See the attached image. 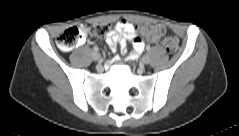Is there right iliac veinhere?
<instances>
[{
	"label": "right iliac vein",
	"mask_w": 239,
	"mask_h": 136,
	"mask_svg": "<svg viewBox=\"0 0 239 136\" xmlns=\"http://www.w3.org/2000/svg\"><path fill=\"white\" fill-rule=\"evenodd\" d=\"M92 58H93V60L98 61V60H100V54L98 52H94L92 54Z\"/></svg>",
	"instance_id": "obj_1"
}]
</instances>
